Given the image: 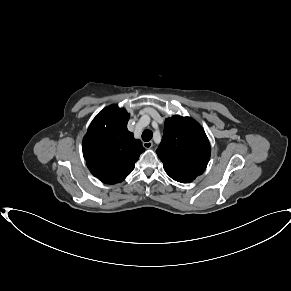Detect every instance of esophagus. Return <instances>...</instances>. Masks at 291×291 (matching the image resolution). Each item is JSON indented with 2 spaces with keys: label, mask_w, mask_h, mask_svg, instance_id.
<instances>
[{
  "label": "esophagus",
  "mask_w": 291,
  "mask_h": 291,
  "mask_svg": "<svg viewBox=\"0 0 291 291\" xmlns=\"http://www.w3.org/2000/svg\"><path fill=\"white\" fill-rule=\"evenodd\" d=\"M143 146H144L146 149H150V148H152V146H153V142H152V141L143 142Z\"/></svg>",
  "instance_id": "1"
}]
</instances>
